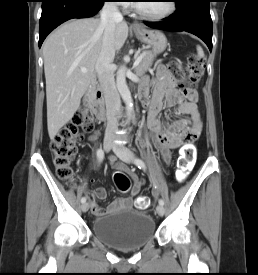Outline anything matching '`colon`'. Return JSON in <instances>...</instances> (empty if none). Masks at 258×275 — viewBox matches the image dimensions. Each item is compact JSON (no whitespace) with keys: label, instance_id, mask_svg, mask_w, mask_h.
<instances>
[{"label":"colon","instance_id":"5ec220e1","mask_svg":"<svg viewBox=\"0 0 258 275\" xmlns=\"http://www.w3.org/2000/svg\"><path fill=\"white\" fill-rule=\"evenodd\" d=\"M169 69L176 74L184 83L181 85L184 91H192L204 72V58L198 54H191L185 65L178 61H171ZM94 121L92 114L87 109H80L74 115L72 121L61 128L54 136L50 144L53 163L57 174L67 184H73L74 171L71 162L76 153L77 141L80 137L79 130L89 131L93 128ZM194 159L192 145H186L178 160L176 178L182 182L187 177ZM113 180L121 192L131 190V180L126 173L116 172ZM149 199L145 196L136 199V206L139 209H146L149 206Z\"/></svg>","mask_w":258,"mask_h":275}]
</instances>
